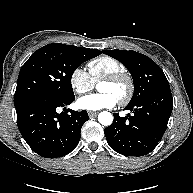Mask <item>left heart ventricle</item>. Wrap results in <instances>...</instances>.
Masks as SVG:
<instances>
[{
	"instance_id": "left-heart-ventricle-1",
	"label": "left heart ventricle",
	"mask_w": 193,
	"mask_h": 193,
	"mask_svg": "<svg viewBox=\"0 0 193 193\" xmlns=\"http://www.w3.org/2000/svg\"><path fill=\"white\" fill-rule=\"evenodd\" d=\"M98 90L101 93H110L117 100H119L126 94L127 84L125 82L120 83L101 82L98 86Z\"/></svg>"
}]
</instances>
